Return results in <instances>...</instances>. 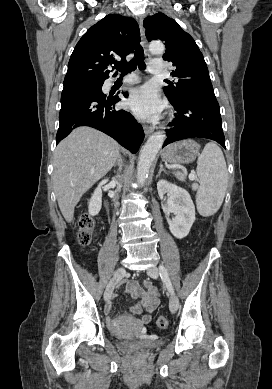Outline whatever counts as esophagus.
I'll list each match as a JSON object with an SVG mask.
<instances>
[{
    "mask_svg": "<svg viewBox=\"0 0 272 389\" xmlns=\"http://www.w3.org/2000/svg\"><path fill=\"white\" fill-rule=\"evenodd\" d=\"M139 27H140V35H141V44L145 50V55L147 58H150V54L148 51V43L145 37V29L143 27L142 18L139 19ZM154 131V127L144 126V132L146 136H149Z\"/></svg>",
    "mask_w": 272,
    "mask_h": 389,
    "instance_id": "1",
    "label": "esophagus"
}]
</instances>
